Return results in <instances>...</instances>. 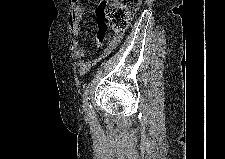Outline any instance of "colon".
<instances>
[{
	"instance_id": "colon-1",
	"label": "colon",
	"mask_w": 225,
	"mask_h": 159,
	"mask_svg": "<svg viewBox=\"0 0 225 159\" xmlns=\"http://www.w3.org/2000/svg\"><path fill=\"white\" fill-rule=\"evenodd\" d=\"M77 3L78 0H70ZM140 0H121L108 2L104 1L99 9V25L102 28L110 27L114 31V36L120 38L129 27L133 14L137 11ZM114 43V40L111 41Z\"/></svg>"
}]
</instances>
